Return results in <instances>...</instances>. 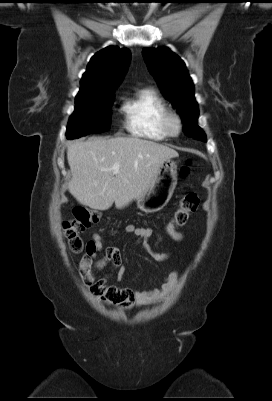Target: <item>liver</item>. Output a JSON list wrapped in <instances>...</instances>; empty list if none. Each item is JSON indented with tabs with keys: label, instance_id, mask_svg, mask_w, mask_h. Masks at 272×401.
Segmentation results:
<instances>
[{
	"label": "liver",
	"instance_id": "6515ba94",
	"mask_svg": "<svg viewBox=\"0 0 272 401\" xmlns=\"http://www.w3.org/2000/svg\"><path fill=\"white\" fill-rule=\"evenodd\" d=\"M178 156L174 149L138 137L72 142L67 147L68 189L90 208L107 210L115 203L122 209L147 190L165 160ZM115 164L119 173L110 170Z\"/></svg>",
	"mask_w": 272,
	"mask_h": 401
}]
</instances>
